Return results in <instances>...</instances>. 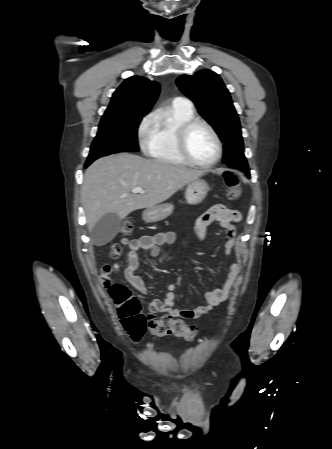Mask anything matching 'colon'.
Here are the masks:
<instances>
[{"mask_svg": "<svg viewBox=\"0 0 332 449\" xmlns=\"http://www.w3.org/2000/svg\"><path fill=\"white\" fill-rule=\"evenodd\" d=\"M223 180L227 188L228 199L231 201L236 200L241 194L238 176L233 171L226 170L223 173ZM121 232L130 235L133 232L132 222L125 221L122 224ZM122 244V242L114 243L110 246L108 250L109 258L117 259L120 257ZM109 293L118 307L123 326L134 340L139 339L143 335L146 327L149 328L151 334L157 337L175 336L193 340L197 334V328L194 325H187L181 319H176L169 315L152 318L147 321L141 312L137 298L124 284L116 283L111 285Z\"/></svg>", "mask_w": 332, "mask_h": 449, "instance_id": "obj_1", "label": "colon"}]
</instances>
